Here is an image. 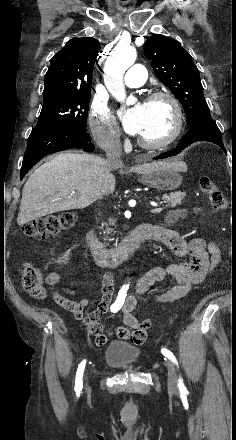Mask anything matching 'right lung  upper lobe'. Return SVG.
Listing matches in <instances>:
<instances>
[{
  "label": "right lung upper lobe",
  "mask_w": 236,
  "mask_h": 440,
  "mask_svg": "<svg viewBox=\"0 0 236 440\" xmlns=\"http://www.w3.org/2000/svg\"><path fill=\"white\" fill-rule=\"evenodd\" d=\"M98 52L99 43L92 37L69 40L51 59L44 81V103L90 93Z\"/></svg>",
  "instance_id": "1"
}]
</instances>
